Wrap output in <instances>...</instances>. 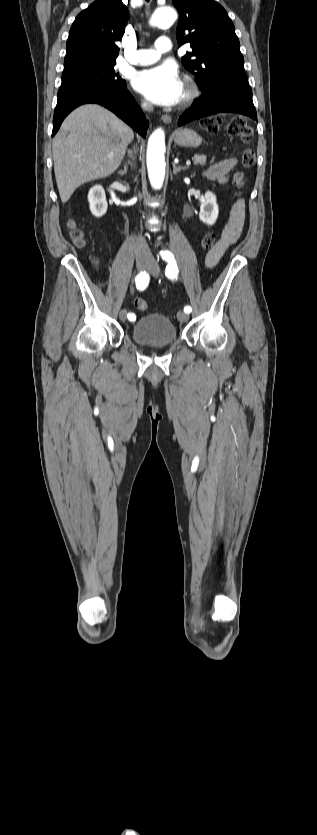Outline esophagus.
Wrapping results in <instances>:
<instances>
[{
    "instance_id": "obj_1",
    "label": "esophagus",
    "mask_w": 317,
    "mask_h": 835,
    "mask_svg": "<svg viewBox=\"0 0 317 835\" xmlns=\"http://www.w3.org/2000/svg\"><path fill=\"white\" fill-rule=\"evenodd\" d=\"M161 120H162L165 124H170V123H171V121H172V119H171V116H170V115H162V116H161Z\"/></svg>"
}]
</instances>
